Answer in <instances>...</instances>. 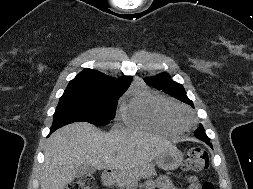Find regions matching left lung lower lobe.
<instances>
[{"label":"left lung lower lobe","instance_id":"1","mask_svg":"<svg viewBox=\"0 0 253 189\" xmlns=\"http://www.w3.org/2000/svg\"><path fill=\"white\" fill-rule=\"evenodd\" d=\"M195 136H196L197 138H199L200 140L204 141L205 143H207L211 148H213V147H212V144L209 143V140H208L207 136L201 135V134H199V133H195Z\"/></svg>","mask_w":253,"mask_h":189}]
</instances>
